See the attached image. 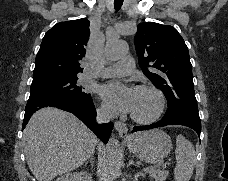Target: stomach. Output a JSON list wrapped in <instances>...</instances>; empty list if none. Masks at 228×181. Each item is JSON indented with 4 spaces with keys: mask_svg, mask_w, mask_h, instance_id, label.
Instances as JSON below:
<instances>
[{
    "mask_svg": "<svg viewBox=\"0 0 228 181\" xmlns=\"http://www.w3.org/2000/svg\"><path fill=\"white\" fill-rule=\"evenodd\" d=\"M125 139L129 151L150 165L160 163L172 149V141L169 135L164 131H159V129L145 131V133H133Z\"/></svg>",
    "mask_w": 228,
    "mask_h": 181,
    "instance_id": "1",
    "label": "stomach"
}]
</instances>
